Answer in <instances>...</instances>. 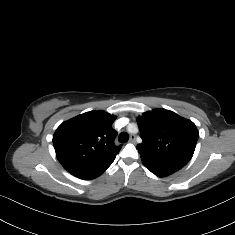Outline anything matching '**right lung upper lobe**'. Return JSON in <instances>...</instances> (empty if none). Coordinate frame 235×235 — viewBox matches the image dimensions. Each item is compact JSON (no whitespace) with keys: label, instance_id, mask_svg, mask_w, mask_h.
Masks as SVG:
<instances>
[{"label":"right lung upper lobe","instance_id":"right-lung-upper-lobe-1","mask_svg":"<svg viewBox=\"0 0 235 235\" xmlns=\"http://www.w3.org/2000/svg\"><path fill=\"white\" fill-rule=\"evenodd\" d=\"M116 119L104 111H90L63 122L53 135L61 165L76 177L101 175L121 149L112 128Z\"/></svg>","mask_w":235,"mask_h":235}]
</instances>
